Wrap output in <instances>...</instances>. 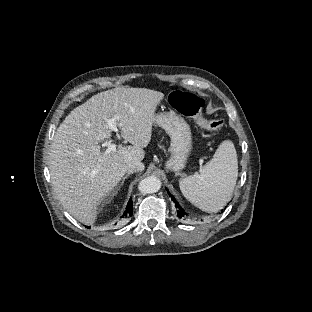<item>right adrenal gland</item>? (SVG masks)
I'll use <instances>...</instances> for the list:
<instances>
[{
	"mask_svg": "<svg viewBox=\"0 0 312 312\" xmlns=\"http://www.w3.org/2000/svg\"><path fill=\"white\" fill-rule=\"evenodd\" d=\"M128 177H129V175H127V176L125 177V179L119 184L118 190H120V189L123 187V185L125 184V180H126Z\"/></svg>",
	"mask_w": 312,
	"mask_h": 312,
	"instance_id": "1",
	"label": "right adrenal gland"
}]
</instances>
